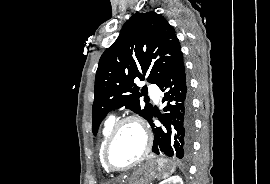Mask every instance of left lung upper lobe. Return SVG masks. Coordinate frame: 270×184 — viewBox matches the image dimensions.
Segmentation results:
<instances>
[{
	"label": "left lung upper lobe",
	"mask_w": 270,
	"mask_h": 184,
	"mask_svg": "<svg viewBox=\"0 0 270 184\" xmlns=\"http://www.w3.org/2000/svg\"><path fill=\"white\" fill-rule=\"evenodd\" d=\"M180 51L175 31L163 16L135 13L99 60L92 107L93 134L110 110L123 106L149 122L152 105L142 108L139 104L146 87L140 93L134 80H145L146 76L149 83L158 84Z\"/></svg>",
	"instance_id": "left-lung-upper-lobe-1"
}]
</instances>
